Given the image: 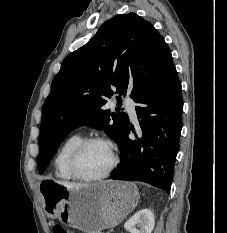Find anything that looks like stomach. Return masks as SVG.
I'll return each instance as SVG.
<instances>
[{"mask_svg":"<svg viewBox=\"0 0 227 233\" xmlns=\"http://www.w3.org/2000/svg\"><path fill=\"white\" fill-rule=\"evenodd\" d=\"M46 215L86 233L118 225L137 205L136 186L124 181H104L70 189L53 180L40 184Z\"/></svg>","mask_w":227,"mask_h":233,"instance_id":"obj_1","label":"stomach"}]
</instances>
